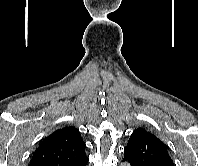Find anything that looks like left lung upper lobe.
Instances as JSON below:
<instances>
[{"mask_svg": "<svg viewBox=\"0 0 198 166\" xmlns=\"http://www.w3.org/2000/svg\"><path fill=\"white\" fill-rule=\"evenodd\" d=\"M124 161L131 166H174L167 146L154 134L137 128L124 149Z\"/></svg>", "mask_w": 198, "mask_h": 166, "instance_id": "left-lung-upper-lobe-1", "label": "left lung upper lobe"}]
</instances>
